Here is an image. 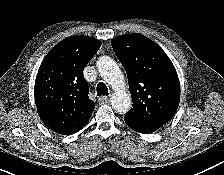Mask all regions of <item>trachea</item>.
Listing matches in <instances>:
<instances>
[{
    "mask_svg": "<svg viewBox=\"0 0 224 175\" xmlns=\"http://www.w3.org/2000/svg\"><path fill=\"white\" fill-rule=\"evenodd\" d=\"M96 91H97V96L108 95V88L103 82L98 83Z\"/></svg>",
    "mask_w": 224,
    "mask_h": 175,
    "instance_id": "obj_1",
    "label": "trachea"
}]
</instances>
